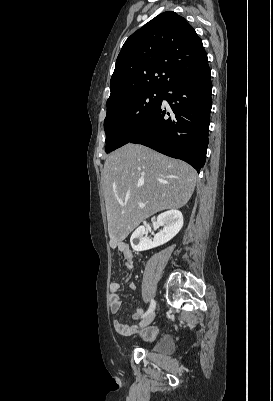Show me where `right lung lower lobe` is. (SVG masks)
Instances as JSON below:
<instances>
[{
    "label": "right lung lower lobe",
    "mask_w": 273,
    "mask_h": 401,
    "mask_svg": "<svg viewBox=\"0 0 273 401\" xmlns=\"http://www.w3.org/2000/svg\"><path fill=\"white\" fill-rule=\"evenodd\" d=\"M162 91L159 107L129 142L181 159L200 170L205 164L212 106L208 61L181 72ZM163 100L168 102L167 109Z\"/></svg>",
    "instance_id": "98d812e1"
}]
</instances>
